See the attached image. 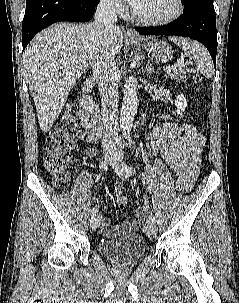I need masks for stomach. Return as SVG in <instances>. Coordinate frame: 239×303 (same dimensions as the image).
Here are the masks:
<instances>
[{
    "label": "stomach",
    "instance_id": "1",
    "mask_svg": "<svg viewBox=\"0 0 239 303\" xmlns=\"http://www.w3.org/2000/svg\"><path fill=\"white\" fill-rule=\"evenodd\" d=\"M145 40V39H144ZM131 44L143 45L144 48L153 55V57L160 62L168 61L171 55V47L162 40L152 39L149 41L142 42L138 40H130Z\"/></svg>",
    "mask_w": 239,
    "mask_h": 303
}]
</instances>
